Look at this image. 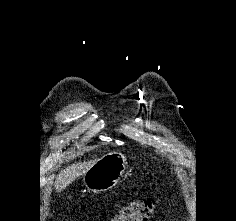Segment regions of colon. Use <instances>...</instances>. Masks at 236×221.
Listing matches in <instances>:
<instances>
[{
	"mask_svg": "<svg viewBox=\"0 0 236 221\" xmlns=\"http://www.w3.org/2000/svg\"><path fill=\"white\" fill-rule=\"evenodd\" d=\"M159 205L155 198L138 199L122 206L111 221H148Z\"/></svg>",
	"mask_w": 236,
	"mask_h": 221,
	"instance_id": "colon-1",
	"label": "colon"
}]
</instances>
